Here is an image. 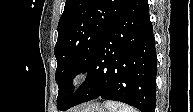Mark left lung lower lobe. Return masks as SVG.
<instances>
[{
    "label": "left lung lower lobe",
    "mask_w": 193,
    "mask_h": 112,
    "mask_svg": "<svg viewBox=\"0 0 193 112\" xmlns=\"http://www.w3.org/2000/svg\"><path fill=\"white\" fill-rule=\"evenodd\" d=\"M147 0H132L100 41L86 80L60 110L96 98L154 112L157 60Z\"/></svg>",
    "instance_id": "left-lung-lower-lobe-1"
}]
</instances>
